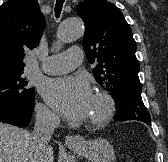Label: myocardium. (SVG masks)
I'll use <instances>...</instances> for the list:
<instances>
[{"label":"myocardium","instance_id":"f54148a6","mask_svg":"<svg viewBox=\"0 0 168 162\" xmlns=\"http://www.w3.org/2000/svg\"><path fill=\"white\" fill-rule=\"evenodd\" d=\"M94 98L101 103L102 110L98 115L88 119L86 125L96 128L105 125L112 118L115 111V102L105 91H97Z\"/></svg>","mask_w":168,"mask_h":162}]
</instances>
